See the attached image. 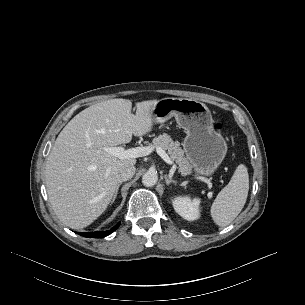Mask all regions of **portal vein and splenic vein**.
<instances>
[{
	"label": "portal vein and splenic vein",
	"instance_id": "1",
	"mask_svg": "<svg viewBox=\"0 0 305 305\" xmlns=\"http://www.w3.org/2000/svg\"><path fill=\"white\" fill-rule=\"evenodd\" d=\"M152 147H136V148H130L125 149L124 147H108L106 148V151L120 159H127V158H138L147 156L152 152ZM158 155L168 164H172L171 159L167 155V153L161 149L157 148Z\"/></svg>",
	"mask_w": 305,
	"mask_h": 305
}]
</instances>
